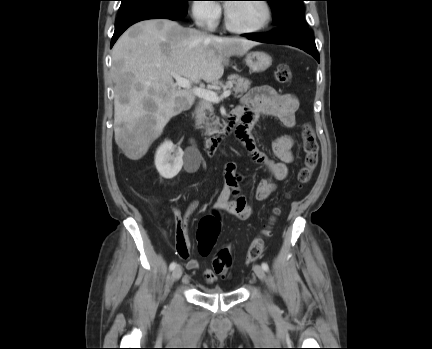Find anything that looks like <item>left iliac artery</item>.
<instances>
[{
	"instance_id": "obj_1",
	"label": "left iliac artery",
	"mask_w": 432,
	"mask_h": 349,
	"mask_svg": "<svg viewBox=\"0 0 432 349\" xmlns=\"http://www.w3.org/2000/svg\"><path fill=\"white\" fill-rule=\"evenodd\" d=\"M262 268H263V270L266 271V272L269 271V266H268V264L265 263V262L262 263Z\"/></svg>"
}]
</instances>
